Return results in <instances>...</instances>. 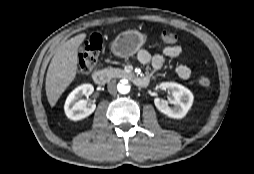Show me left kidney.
Returning <instances> with one entry per match:
<instances>
[{
	"instance_id": "5707ae66",
	"label": "left kidney",
	"mask_w": 254,
	"mask_h": 174,
	"mask_svg": "<svg viewBox=\"0 0 254 174\" xmlns=\"http://www.w3.org/2000/svg\"><path fill=\"white\" fill-rule=\"evenodd\" d=\"M160 87L167 90L170 95L169 102L173 106H169L163 100L156 98L154 103L157 109L168 117L175 119L183 118L193 104L194 96L192 92L175 82L161 83Z\"/></svg>"
}]
</instances>
